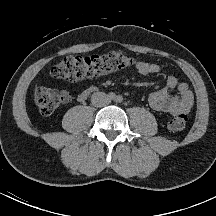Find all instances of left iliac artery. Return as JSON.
<instances>
[{
	"mask_svg": "<svg viewBox=\"0 0 216 216\" xmlns=\"http://www.w3.org/2000/svg\"><path fill=\"white\" fill-rule=\"evenodd\" d=\"M116 100H117L118 102H121V101L123 100V98H122L121 96H117Z\"/></svg>",
	"mask_w": 216,
	"mask_h": 216,
	"instance_id": "obj_1",
	"label": "left iliac artery"
}]
</instances>
